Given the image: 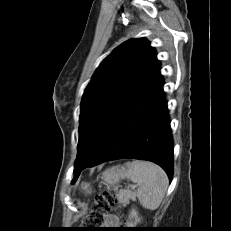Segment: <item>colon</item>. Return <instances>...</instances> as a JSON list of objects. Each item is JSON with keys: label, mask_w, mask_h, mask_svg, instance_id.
Instances as JSON below:
<instances>
[{"label": "colon", "mask_w": 231, "mask_h": 231, "mask_svg": "<svg viewBox=\"0 0 231 231\" xmlns=\"http://www.w3.org/2000/svg\"><path fill=\"white\" fill-rule=\"evenodd\" d=\"M115 195L108 191H101L95 198L90 213L84 219V224L89 227L101 226L105 221V216L116 205Z\"/></svg>", "instance_id": "1"}]
</instances>
